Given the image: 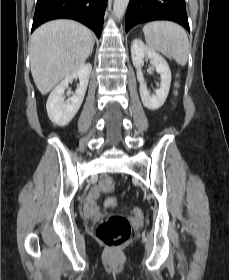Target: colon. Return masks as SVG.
I'll return each mask as SVG.
<instances>
[{
  "mask_svg": "<svg viewBox=\"0 0 229 280\" xmlns=\"http://www.w3.org/2000/svg\"><path fill=\"white\" fill-rule=\"evenodd\" d=\"M177 94V91H175ZM101 187L110 191L115 188V182L108 176L101 180ZM133 214L141 216L142 211L138 208L133 210ZM131 226L127 218L120 215H112L103 218L96 230L98 240L109 249H117L123 246L130 238Z\"/></svg>",
  "mask_w": 229,
  "mask_h": 280,
  "instance_id": "obj_1",
  "label": "colon"
}]
</instances>
